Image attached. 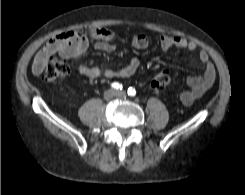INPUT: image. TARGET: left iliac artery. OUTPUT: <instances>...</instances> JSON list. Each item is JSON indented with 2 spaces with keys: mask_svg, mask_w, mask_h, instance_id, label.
Masks as SVG:
<instances>
[{
  "mask_svg": "<svg viewBox=\"0 0 245 195\" xmlns=\"http://www.w3.org/2000/svg\"><path fill=\"white\" fill-rule=\"evenodd\" d=\"M129 96H135L136 95V90L132 87H130L127 91Z\"/></svg>",
  "mask_w": 245,
  "mask_h": 195,
  "instance_id": "1",
  "label": "left iliac artery"
}]
</instances>
